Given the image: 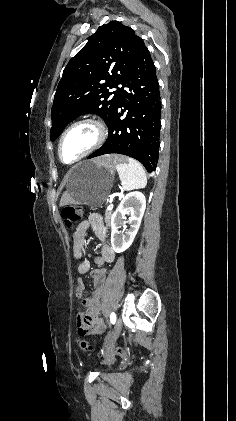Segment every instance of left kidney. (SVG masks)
I'll return each mask as SVG.
<instances>
[{
    "label": "left kidney",
    "mask_w": 236,
    "mask_h": 421,
    "mask_svg": "<svg viewBox=\"0 0 236 421\" xmlns=\"http://www.w3.org/2000/svg\"><path fill=\"white\" fill-rule=\"evenodd\" d=\"M146 208V198L143 192H128L121 200L116 211L111 215V245L115 253H123L131 247L141 225ZM127 213H130L129 221H125ZM129 223V229H124L125 233H119L121 225L126 227Z\"/></svg>",
    "instance_id": "1"
}]
</instances>
